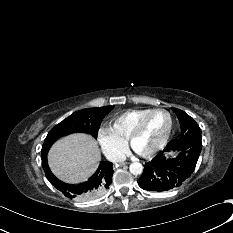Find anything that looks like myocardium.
Returning <instances> with one entry per match:
<instances>
[{
  "mask_svg": "<svg viewBox=\"0 0 233 233\" xmlns=\"http://www.w3.org/2000/svg\"><path fill=\"white\" fill-rule=\"evenodd\" d=\"M156 112H165L168 115L169 125H168V128H167V131H166L164 137L162 138V140L156 146H154L152 149H150V150H148L146 152H139L134 147V141L137 138V136L141 133L147 119L153 113H156ZM172 127H173V117H172V114H171V112L169 110H167L165 108L151 109L145 115H143L138 120V122L135 124L134 128L132 129V131L130 132V134L128 136L127 143L140 156H142V157H151L166 145V143H167V141H168V139H169V137L171 135Z\"/></svg>",
  "mask_w": 233,
  "mask_h": 233,
  "instance_id": "myocardium-1",
  "label": "myocardium"
}]
</instances>
